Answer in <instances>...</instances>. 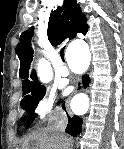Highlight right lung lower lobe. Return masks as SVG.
<instances>
[{"label": "right lung lower lobe", "instance_id": "right-lung-lower-lobe-1", "mask_svg": "<svg viewBox=\"0 0 124 149\" xmlns=\"http://www.w3.org/2000/svg\"><path fill=\"white\" fill-rule=\"evenodd\" d=\"M63 109L65 110V104L63 105ZM36 115L30 117V119L27 121L26 127H29L31 123L34 120V117ZM82 131V119L79 116H73L72 118L68 116V125L65 130L66 133L72 135L73 137H76L78 134H80Z\"/></svg>", "mask_w": 124, "mask_h": 149}]
</instances>
